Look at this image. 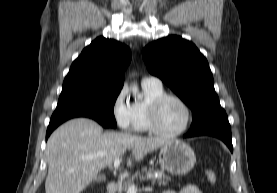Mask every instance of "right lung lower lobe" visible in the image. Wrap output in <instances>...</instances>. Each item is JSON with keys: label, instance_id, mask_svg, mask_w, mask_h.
<instances>
[{"label": "right lung lower lobe", "instance_id": "98d812e1", "mask_svg": "<svg viewBox=\"0 0 277 193\" xmlns=\"http://www.w3.org/2000/svg\"><path fill=\"white\" fill-rule=\"evenodd\" d=\"M75 117H88V118H92L90 116L87 115H83V114H78V113H54L51 117L49 126L47 128V132H46V140L49 137V135L52 133V131L58 127L60 124H62L63 122H65L68 119L71 118H75ZM94 119V118H92ZM95 120V119H94ZM97 121V120H96ZM99 122V121H98ZM102 126L104 127H109L104 123L99 122Z\"/></svg>", "mask_w": 277, "mask_h": 193}]
</instances>
